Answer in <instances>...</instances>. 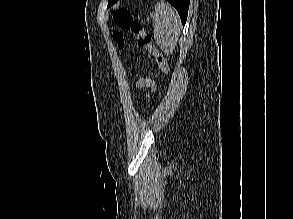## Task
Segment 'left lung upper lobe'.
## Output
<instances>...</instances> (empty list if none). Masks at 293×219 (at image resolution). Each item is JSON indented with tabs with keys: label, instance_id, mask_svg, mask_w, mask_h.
<instances>
[{
	"label": "left lung upper lobe",
	"instance_id": "1",
	"mask_svg": "<svg viewBox=\"0 0 293 219\" xmlns=\"http://www.w3.org/2000/svg\"><path fill=\"white\" fill-rule=\"evenodd\" d=\"M115 2H116V0H109V5L108 6L113 5Z\"/></svg>",
	"mask_w": 293,
	"mask_h": 219
}]
</instances>
